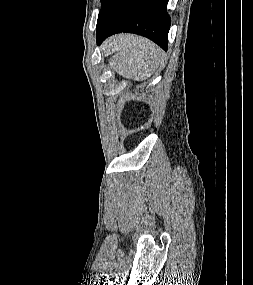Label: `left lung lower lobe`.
<instances>
[{
    "mask_svg": "<svg viewBox=\"0 0 253 285\" xmlns=\"http://www.w3.org/2000/svg\"><path fill=\"white\" fill-rule=\"evenodd\" d=\"M168 0H106L97 20V44L115 33L145 36L167 50L170 17Z\"/></svg>",
    "mask_w": 253,
    "mask_h": 285,
    "instance_id": "left-lung-lower-lobe-1",
    "label": "left lung lower lobe"
}]
</instances>
